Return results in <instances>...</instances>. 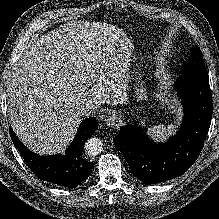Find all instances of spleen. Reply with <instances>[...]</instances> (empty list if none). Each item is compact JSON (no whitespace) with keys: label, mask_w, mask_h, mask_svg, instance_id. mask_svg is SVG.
<instances>
[{"label":"spleen","mask_w":219,"mask_h":219,"mask_svg":"<svg viewBox=\"0 0 219 219\" xmlns=\"http://www.w3.org/2000/svg\"><path fill=\"white\" fill-rule=\"evenodd\" d=\"M176 130V125L174 124H170L167 127L164 124H158L147 129V135L152 140L161 142L166 140L168 135L174 134Z\"/></svg>","instance_id":"obj_1"}]
</instances>
